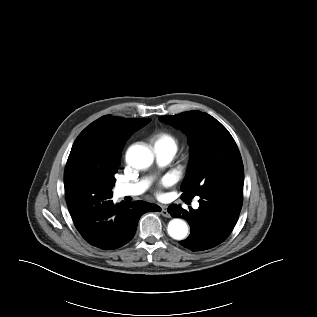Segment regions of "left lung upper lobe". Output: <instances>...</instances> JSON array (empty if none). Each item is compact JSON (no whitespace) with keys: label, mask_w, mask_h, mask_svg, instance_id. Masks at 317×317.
<instances>
[{"label":"left lung upper lobe","mask_w":317,"mask_h":317,"mask_svg":"<svg viewBox=\"0 0 317 317\" xmlns=\"http://www.w3.org/2000/svg\"><path fill=\"white\" fill-rule=\"evenodd\" d=\"M159 120L186 132L190 162L181 184L182 199H191L215 189L242 191L244 167L238 147L228 130L201 111L159 117Z\"/></svg>","instance_id":"1"}]
</instances>
